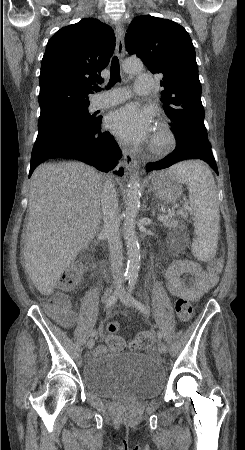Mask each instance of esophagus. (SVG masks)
<instances>
[{"instance_id":"34e87169","label":"esophagus","mask_w":245,"mask_h":450,"mask_svg":"<svg viewBox=\"0 0 245 450\" xmlns=\"http://www.w3.org/2000/svg\"><path fill=\"white\" fill-rule=\"evenodd\" d=\"M124 28L120 23H117L115 26V35H116V53L119 58H122L125 53L124 46ZM123 153V163L128 171H132L136 168L137 162L134 158V155L126 148L122 147Z\"/></svg>"}]
</instances>
